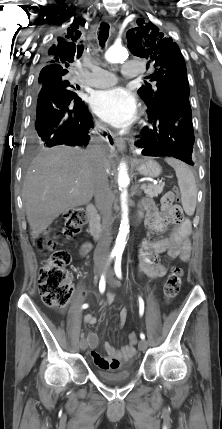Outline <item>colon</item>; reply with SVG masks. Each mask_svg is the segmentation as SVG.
<instances>
[{
	"instance_id": "1",
	"label": "colon",
	"mask_w": 222,
	"mask_h": 429,
	"mask_svg": "<svg viewBox=\"0 0 222 429\" xmlns=\"http://www.w3.org/2000/svg\"><path fill=\"white\" fill-rule=\"evenodd\" d=\"M177 192L169 191L162 198V204L166 206L173 205L178 201ZM87 213L83 208H71L64 215V229L66 236H74L85 224ZM40 246L51 252L49 258L43 263L39 273V293L45 305L49 307H65L72 295L73 286L71 283L68 265L70 255L67 251L58 249L52 239L40 241ZM183 269L180 266H174L163 286V298L166 302L174 299L180 291L183 279ZM138 336L135 332L129 334V345L137 344Z\"/></svg>"
}]
</instances>
